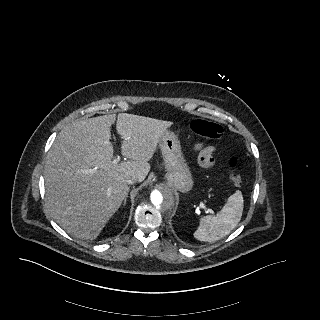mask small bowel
Masks as SVG:
<instances>
[{
    "label": "small bowel",
    "mask_w": 320,
    "mask_h": 320,
    "mask_svg": "<svg viewBox=\"0 0 320 320\" xmlns=\"http://www.w3.org/2000/svg\"><path fill=\"white\" fill-rule=\"evenodd\" d=\"M195 150L198 152L199 163L203 167H210L213 165L215 153L214 146L198 143L195 145Z\"/></svg>",
    "instance_id": "small-bowel-1"
}]
</instances>
